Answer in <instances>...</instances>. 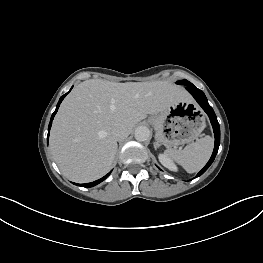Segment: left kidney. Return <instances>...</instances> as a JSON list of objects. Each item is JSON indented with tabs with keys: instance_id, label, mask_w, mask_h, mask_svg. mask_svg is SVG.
Masks as SVG:
<instances>
[{
	"instance_id": "1",
	"label": "left kidney",
	"mask_w": 263,
	"mask_h": 263,
	"mask_svg": "<svg viewBox=\"0 0 263 263\" xmlns=\"http://www.w3.org/2000/svg\"><path fill=\"white\" fill-rule=\"evenodd\" d=\"M158 159L160 161V163L167 169H169L170 171L173 172H177L178 168L177 166L174 164V162L172 161V159L167 155V154H159L158 155Z\"/></svg>"
}]
</instances>
